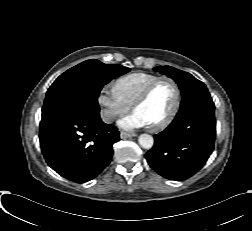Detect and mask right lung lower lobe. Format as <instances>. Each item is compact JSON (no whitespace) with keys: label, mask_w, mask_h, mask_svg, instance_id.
Segmentation results:
<instances>
[{"label":"right lung lower lobe","mask_w":252,"mask_h":231,"mask_svg":"<svg viewBox=\"0 0 252 231\" xmlns=\"http://www.w3.org/2000/svg\"><path fill=\"white\" fill-rule=\"evenodd\" d=\"M39 138L48 165L76 183L101 173L110 163L113 144L120 140L117 128L102 122L99 112L72 107L43 115Z\"/></svg>","instance_id":"1"}]
</instances>
